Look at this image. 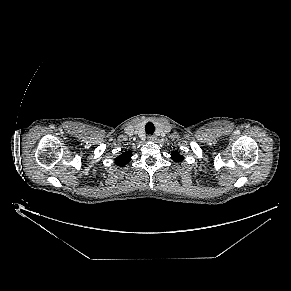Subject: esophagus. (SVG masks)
I'll use <instances>...</instances> for the list:
<instances>
[{
  "instance_id": "obj_1",
  "label": "esophagus",
  "mask_w": 291,
  "mask_h": 291,
  "mask_svg": "<svg viewBox=\"0 0 291 291\" xmlns=\"http://www.w3.org/2000/svg\"><path fill=\"white\" fill-rule=\"evenodd\" d=\"M148 140L151 141V142H154V141H156V136H154V135H149V136H148Z\"/></svg>"
}]
</instances>
